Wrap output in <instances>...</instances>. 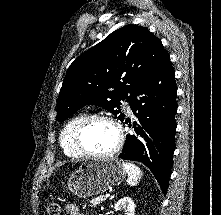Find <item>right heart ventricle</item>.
Wrapping results in <instances>:
<instances>
[{
    "label": "right heart ventricle",
    "instance_id": "obj_1",
    "mask_svg": "<svg viewBox=\"0 0 221 215\" xmlns=\"http://www.w3.org/2000/svg\"><path fill=\"white\" fill-rule=\"evenodd\" d=\"M89 115L87 113H80L71 118L61 132V146L66 156L71 158L81 157L82 154L76 147L75 134L79 126L87 119Z\"/></svg>",
    "mask_w": 221,
    "mask_h": 215
}]
</instances>
